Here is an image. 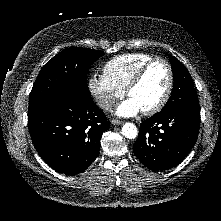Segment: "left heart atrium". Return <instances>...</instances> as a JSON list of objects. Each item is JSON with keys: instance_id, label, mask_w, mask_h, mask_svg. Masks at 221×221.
<instances>
[{"instance_id": "left-heart-atrium-1", "label": "left heart atrium", "mask_w": 221, "mask_h": 221, "mask_svg": "<svg viewBox=\"0 0 221 221\" xmlns=\"http://www.w3.org/2000/svg\"><path fill=\"white\" fill-rule=\"evenodd\" d=\"M140 111V108L132 99H127L122 102L116 109L118 116L129 117L137 114Z\"/></svg>"}]
</instances>
